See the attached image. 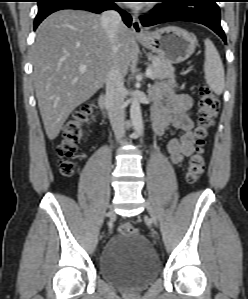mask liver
Returning a JSON list of instances; mask_svg holds the SVG:
<instances>
[{"instance_id": "6515ba94", "label": "liver", "mask_w": 248, "mask_h": 299, "mask_svg": "<svg viewBox=\"0 0 248 299\" xmlns=\"http://www.w3.org/2000/svg\"><path fill=\"white\" fill-rule=\"evenodd\" d=\"M134 53L133 33L123 23L112 52L101 16L94 13L61 10L40 24L32 47L33 80L50 140L58 136L69 115L106 83L113 64L126 75Z\"/></svg>"}]
</instances>
